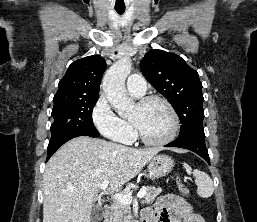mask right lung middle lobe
Instances as JSON below:
<instances>
[{
	"mask_svg": "<svg viewBox=\"0 0 257 222\" xmlns=\"http://www.w3.org/2000/svg\"><path fill=\"white\" fill-rule=\"evenodd\" d=\"M97 100L98 96H89L54 102L50 142L74 134L99 136L92 120V111Z\"/></svg>",
	"mask_w": 257,
	"mask_h": 222,
	"instance_id": "1",
	"label": "right lung middle lobe"
}]
</instances>
